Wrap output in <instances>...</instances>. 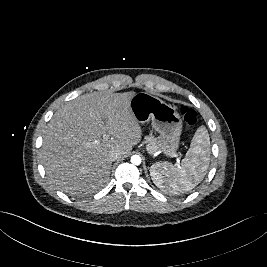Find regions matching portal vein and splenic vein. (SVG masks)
Instances as JSON below:
<instances>
[{
    "instance_id": "portal-vein-and-splenic-vein-1",
    "label": "portal vein and splenic vein",
    "mask_w": 267,
    "mask_h": 267,
    "mask_svg": "<svg viewBox=\"0 0 267 267\" xmlns=\"http://www.w3.org/2000/svg\"><path fill=\"white\" fill-rule=\"evenodd\" d=\"M103 139H104V140H108V139H109V135H104V136H103ZM96 143H97V142L89 143V145L96 144ZM177 161L179 162V158L177 159Z\"/></svg>"
}]
</instances>
